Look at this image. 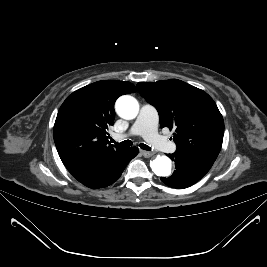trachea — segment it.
I'll use <instances>...</instances> for the list:
<instances>
[{
    "label": "trachea",
    "instance_id": "trachea-1",
    "mask_svg": "<svg viewBox=\"0 0 267 267\" xmlns=\"http://www.w3.org/2000/svg\"><path fill=\"white\" fill-rule=\"evenodd\" d=\"M112 143L116 144L119 147H130L133 144L132 141H130V140H125V141H122L120 143L112 140ZM139 146L143 150H147V151L151 150V148L149 146H147L146 144H140Z\"/></svg>",
    "mask_w": 267,
    "mask_h": 267
}]
</instances>
